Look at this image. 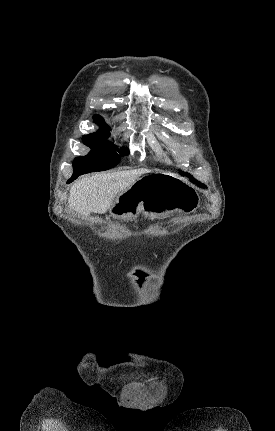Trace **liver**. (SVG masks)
I'll return each mask as SVG.
<instances>
[{"label":"liver","mask_w":275,"mask_h":431,"mask_svg":"<svg viewBox=\"0 0 275 431\" xmlns=\"http://www.w3.org/2000/svg\"><path fill=\"white\" fill-rule=\"evenodd\" d=\"M147 169L101 173L76 181L70 188L68 204L77 213H105L116 197L129 188Z\"/></svg>","instance_id":"liver-1"}]
</instances>
